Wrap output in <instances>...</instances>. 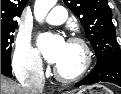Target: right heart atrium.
Masks as SVG:
<instances>
[{
	"instance_id": "1",
	"label": "right heart atrium",
	"mask_w": 121,
	"mask_h": 94,
	"mask_svg": "<svg viewBox=\"0 0 121 94\" xmlns=\"http://www.w3.org/2000/svg\"><path fill=\"white\" fill-rule=\"evenodd\" d=\"M13 71L19 78H40L43 71L42 61L32 48L28 38L18 40L12 58Z\"/></svg>"
}]
</instances>
